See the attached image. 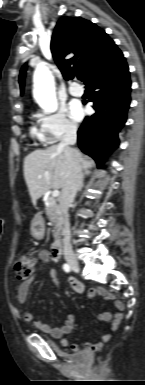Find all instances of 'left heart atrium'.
Wrapping results in <instances>:
<instances>
[{
	"label": "left heart atrium",
	"instance_id": "left-heart-atrium-1",
	"mask_svg": "<svg viewBox=\"0 0 145 385\" xmlns=\"http://www.w3.org/2000/svg\"><path fill=\"white\" fill-rule=\"evenodd\" d=\"M70 114L73 119L80 120L84 115V111L79 103L72 102L70 104Z\"/></svg>",
	"mask_w": 145,
	"mask_h": 385
}]
</instances>
